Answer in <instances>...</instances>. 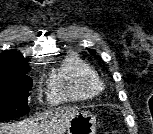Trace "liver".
<instances>
[{"mask_svg":"<svg viewBox=\"0 0 153 134\" xmlns=\"http://www.w3.org/2000/svg\"><path fill=\"white\" fill-rule=\"evenodd\" d=\"M76 112V108H66L46 113L30 122L0 124V134H63Z\"/></svg>","mask_w":153,"mask_h":134,"instance_id":"liver-1","label":"liver"}]
</instances>
